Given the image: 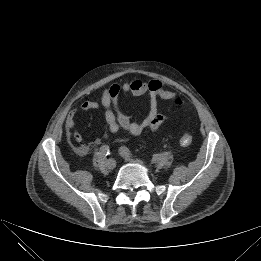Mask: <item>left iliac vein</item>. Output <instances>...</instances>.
Masks as SVG:
<instances>
[{
    "instance_id": "left-iliac-vein-1",
    "label": "left iliac vein",
    "mask_w": 261,
    "mask_h": 261,
    "mask_svg": "<svg viewBox=\"0 0 261 261\" xmlns=\"http://www.w3.org/2000/svg\"><path fill=\"white\" fill-rule=\"evenodd\" d=\"M120 154L128 162H132V163H137V164L143 165V161L141 159L132 158V157L127 156L126 154L122 153L121 151H120Z\"/></svg>"
}]
</instances>
